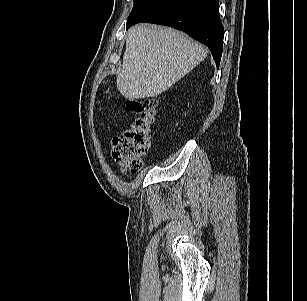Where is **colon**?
Returning a JSON list of instances; mask_svg holds the SVG:
<instances>
[{
    "label": "colon",
    "mask_w": 307,
    "mask_h": 301,
    "mask_svg": "<svg viewBox=\"0 0 307 301\" xmlns=\"http://www.w3.org/2000/svg\"><path fill=\"white\" fill-rule=\"evenodd\" d=\"M127 107L138 117L112 142V156L123 171L138 172L142 168L151 135V126L157 111V101L152 98H128Z\"/></svg>",
    "instance_id": "obj_1"
}]
</instances>
